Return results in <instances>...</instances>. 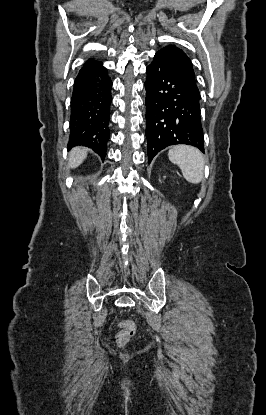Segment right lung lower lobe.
Returning <instances> with one entry per match:
<instances>
[{"mask_svg": "<svg viewBox=\"0 0 266 415\" xmlns=\"http://www.w3.org/2000/svg\"><path fill=\"white\" fill-rule=\"evenodd\" d=\"M112 82L102 65L81 72L71 98L68 149L86 146L105 158L109 132Z\"/></svg>", "mask_w": 266, "mask_h": 415, "instance_id": "right-lung-lower-lobe-1", "label": "right lung lower lobe"}]
</instances>
